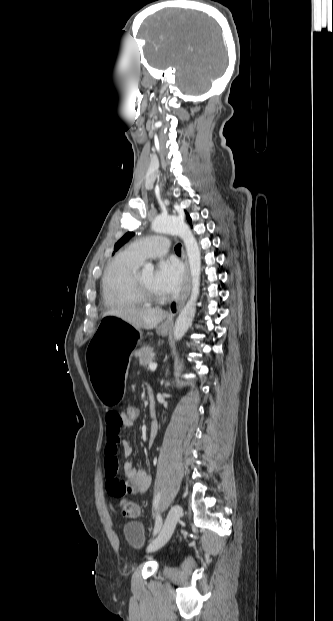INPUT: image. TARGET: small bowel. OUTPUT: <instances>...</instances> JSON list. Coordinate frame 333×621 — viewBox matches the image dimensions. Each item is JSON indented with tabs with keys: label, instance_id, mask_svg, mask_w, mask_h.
<instances>
[{
	"label": "small bowel",
	"instance_id": "small-bowel-1",
	"mask_svg": "<svg viewBox=\"0 0 333 621\" xmlns=\"http://www.w3.org/2000/svg\"><path fill=\"white\" fill-rule=\"evenodd\" d=\"M129 424L122 412L116 410L108 411L106 415L107 441L104 449V471L106 475V489L110 496L122 498L125 495H136L146 492L151 483L149 474L137 468L131 461H126L123 465L124 479L119 477L120 465L117 458L119 446L126 458L132 455V447L128 441L122 438L124 430L129 428ZM157 432L156 424L151 428V439Z\"/></svg>",
	"mask_w": 333,
	"mask_h": 621
}]
</instances>
